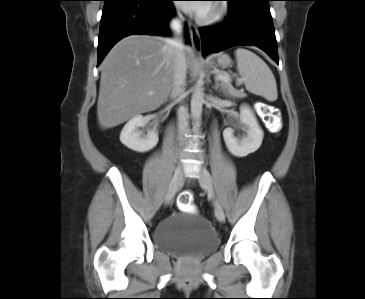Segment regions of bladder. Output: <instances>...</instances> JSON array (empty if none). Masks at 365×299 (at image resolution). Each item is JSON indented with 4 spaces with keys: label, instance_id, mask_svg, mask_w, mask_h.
<instances>
[{
    "label": "bladder",
    "instance_id": "bladder-1",
    "mask_svg": "<svg viewBox=\"0 0 365 299\" xmlns=\"http://www.w3.org/2000/svg\"><path fill=\"white\" fill-rule=\"evenodd\" d=\"M153 241L162 251L197 257L216 250L219 236L209 220L186 211H176L161 220L153 230Z\"/></svg>",
    "mask_w": 365,
    "mask_h": 299
}]
</instances>
